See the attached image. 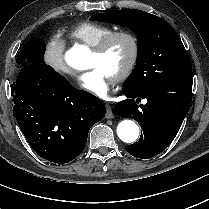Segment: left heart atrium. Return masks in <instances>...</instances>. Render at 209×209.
<instances>
[{"label": "left heart atrium", "instance_id": "39dd6f15", "mask_svg": "<svg viewBox=\"0 0 209 209\" xmlns=\"http://www.w3.org/2000/svg\"><path fill=\"white\" fill-rule=\"evenodd\" d=\"M115 78L107 75L101 68L95 67L79 75L80 86L99 98H106Z\"/></svg>", "mask_w": 209, "mask_h": 209}]
</instances>
